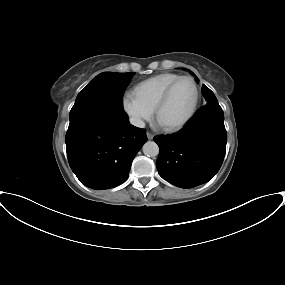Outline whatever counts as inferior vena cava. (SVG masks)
Masks as SVG:
<instances>
[{"label": "inferior vena cava", "instance_id": "1", "mask_svg": "<svg viewBox=\"0 0 285 285\" xmlns=\"http://www.w3.org/2000/svg\"><path fill=\"white\" fill-rule=\"evenodd\" d=\"M130 123L139 128L145 127V123L140 118L132 117L130 118Z\"/></svg>", "mask_w": 285, "mask_h": 285}]
</instances>
